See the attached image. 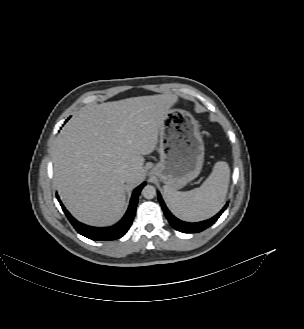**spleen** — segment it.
Returning a JSON list of instances; mask_svg holds the SVG:
<instances>
[{
  "instance_id": "obj_1",
  "label": "spleen",
  "mask_w": 304,
  "mask_h": 329,
  "mask_svg": "<svg viewBox=\"0 0 304 329\" xmlns=\"http://www.w3.org/2000/svg\"><path fill=\"white\" fill-rule=\"evenodd\" d=\"M229 180L228 164L219 161L200 187L180 192L166 185L164 193L170 209L177 217L184 221L197 222L212 217L222 208Z\"/></svg>"
}]
</instances>
